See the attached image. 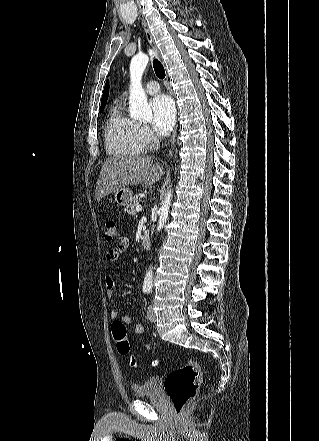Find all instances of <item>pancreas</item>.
I'll return each mask as SVG.
<instances>
[{"mask_svg":"<svg viewBox=\"0 0 319 441\" xmlns=\"http://www.w3.org/2000/svg\"><path fill=\"white\" fill-rule=\"evenodd\" d=\"M140 204V198L138 195H135L131 200V203L126 207V212L130 215L136 213V206Z\"/></svg>","mask_w":319,"mask_h":441,"instance_id":"obj_1","label":"pancreas"}]
</instances>
